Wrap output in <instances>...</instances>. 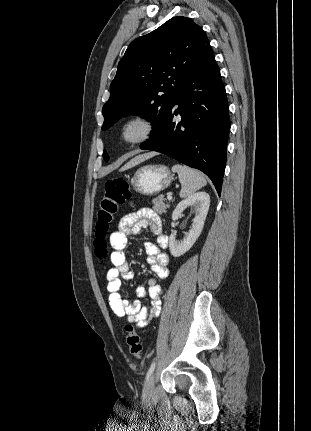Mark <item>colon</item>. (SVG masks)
Instances as JSON below:
<instances>
[{
    "label": "colon",
    "instance_id": "obj_1",
    "mask_svg": "<svg viewBox=\"0 0 311 431\" xmlns=\"http://www.w3.org/2000/svg\"><path fill=\"white\" fill-rule=\"evenodd\" d=\"M130 197L131 191L124 178H112L105 182L95 224L94 250L98 258L102 259L107 255L108 232L120 207ZM126 342L131 355L140 359L142 357L141 340L135 328L130 324L126 326Z\"/></svg>",
    "mask_w": 311,
    "mask_h": 431
}]
</instances>
